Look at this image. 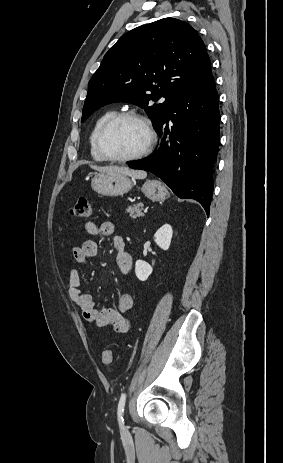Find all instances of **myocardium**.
Listing matches in <instances>:
<instances>
[{"mask_svg": "<svg viewBox=\"0 0 283 463\" xmlns=\"http://www.w3.org/2000/svg\"><path fill=\"white\" fill-rule=\"evenodd\" d=\"M125 119H134L142 124L147 134L146 145L141 151L131 156L118 157V156L110 155L104 147V136L110 127H112L114 124L122 120H125ZM155 143H156V133L152 126L151 121L145 115L139 112H136V111H124V112L116 113L115 115L111 116L102 124L96 136V146L101 156L107 161L118 162V163H128V162L143 159L144 157H146L147 155L151 153V151L153 150L155 146Z\"/></svg>", "mask_w": 283, "mask_h": 463, "instance_id": "1", "label": "myocardium"}]
</instances>
